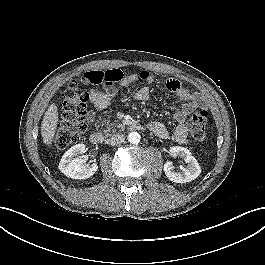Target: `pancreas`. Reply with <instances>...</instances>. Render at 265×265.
I'll return each instance as SVG.
<instances>
[{
  "label": "pancreas",
  "instance_id": "1",
  "mask_svg": "<svg viewBox=\"0 0 265 265\" xmlns=\"http://www.w3.org/2000/svg\"><path fill=\"white\" fill-rule=\"evenodd\" d=\"M116 127H117L118 130H120V131L124 130V125H123V124L118 123V124L116 125Z\"/></svg>",
  "mask_w": 265,
  "mask_h": 265
}]
</instances>
